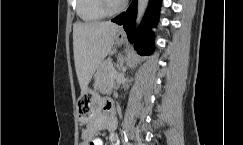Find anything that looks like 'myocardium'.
I'll return each mask as SVG.
<instances>
[{
	"instance_id": "myocardium-1",
	"label": "myocardium",
	"mask_w": 243,
	"mask_h": 145,
	"mask_svg": "<svg viewBox=\"0 0 243 145\" xmlns=\"http://www.w3.org/2000/svg\"><path fill=\"white\" fill-rule=\"evenodd\" d=\"M101 9L107 14H115L121 11L125 6V0H122L119 4L114 5L111 0H99Z\"/></svg>"
}]
</instances>
